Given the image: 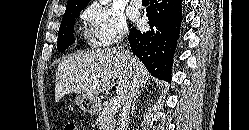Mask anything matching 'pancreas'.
I'll return each instance as SVG.
<instances>
[{
	"label": "pancreas",
	"mask_w": 249,
	"mask_h": 130,
	"mask_svg": "<svg viewBox=\"0 0 249 130\" xmlns=\"http://www.w3.org/2000/svg\"><path fill=\"white\" fill-rule=\"evenodd\" d=\"M96 124L100 130H114L116 125L115 112L110 110V106L103 108L98 115Z\"/></svg>",
	"instance_id": "obj_1"
}]
</instances>
